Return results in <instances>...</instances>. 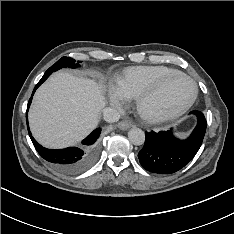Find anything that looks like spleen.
Segmentation results:
<instances>
[{
    "instance_id": "spleen-1",
    "label": "spleen",
    "mask_w": 234,
    "mask_h": 234,
    "mask_svg": "<svg viewBox=\"0 0 234 234\" xmlns=\"http://www.w3.org/2000/svg\"><path fill=\"white\" fill-rule=\"evenodd\" d=\"M177 136H179V137L183 138V137H185V136H186V134H185V133H177Z\"/></svg>"
}]
</instances>
